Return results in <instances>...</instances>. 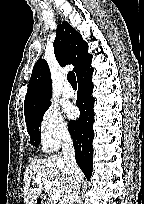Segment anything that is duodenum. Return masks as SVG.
Listing matches in <instances>:
<instances>
[{"instance_id": "1", "label": "duodenum", "mask_w": 144, "mask_h": 204, "mask_svg": "<svg viewBox=\"0 0 144 204\" xmlns=\"http://www.w3.org/2000/svg\"><path fill=\"white\" fill-rule=\"evenodd\" d=\"M36 204H46V202L43 201V200H41V199H38V200L36 201Z\"/></svg>"}]
</instances>
